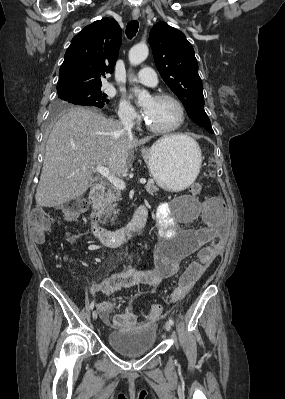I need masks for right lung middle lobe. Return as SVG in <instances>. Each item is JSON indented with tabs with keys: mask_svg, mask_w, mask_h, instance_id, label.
Masks as SVG:
<instances>
[{
	"mask_svg": "<svg viewBox=\"0 0 285 399\" xmlns=\"http://www.w3.org/2000/svg\"><path fill=\"white\" fill-rule=\"evenodd\" d=\"M57 93L58 97L55 103V112L70 108L73 105L103 108L109 103V100L106 98L107 95L101 92V87L70 89Z\"/></svg>",
	"mask_w": 285,
	"mask_h": 399,
	"instance_id": "dd1d6c3e",
	"label": "right lung middle lobe"
}]
</instances>
